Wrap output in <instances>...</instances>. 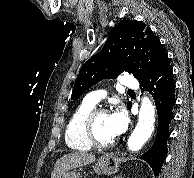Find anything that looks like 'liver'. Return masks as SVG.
Here are the masks:
<instances>
[{"instance_id": "liver-1", "label": "liver", "mask_w": 194, "mask_h": 178, "mask_svg": "<svg viewBox=\"0 0 194 178\" xmlns=\"http://www.w3.org/2000/svg\"><path fill=\"white\" fill-rule=\"evenodd\" d=\"M96 160L95 155L84 152H72L63 155L54 166V170L51 173V178H58L63 173L90 164Z\"/></svg>"}]
</instances>
